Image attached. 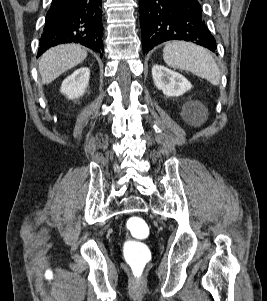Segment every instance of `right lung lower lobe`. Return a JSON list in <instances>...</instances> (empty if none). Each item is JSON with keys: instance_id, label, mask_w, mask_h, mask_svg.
Segmentation results:
<instances>
[{"instance_id": "obj_1", "label": "right lung lower lobe", "mask_w": 267, "mask_h": 301, "mask_svg": "<svg viewBox=\"0 0 267 301\" xmlns=\"http://www.w3.org/2000/svg\"><path fill=\"white\" fill-rule=\"evenodd\" d=\"M101 0H53L40 38L39 57L52 46L80 43L103 51Z\"/></svg>"}]
</instances>
